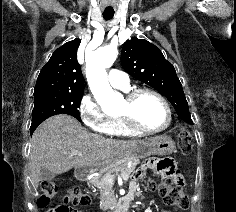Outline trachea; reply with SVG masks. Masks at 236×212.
I'll return each instance as SVG.
<instances>
[{"instance_id":"1","label":"trachea","mask_w":236,"mask_h":212,"mask_svg":"<svg viewBox=\"0 0 236 212\" xmlns=\"http://www.w3.org/2000/svg\"><path fill=\"white\" fill-rule=\"evenodd\" d=\"M114 16V12H104L103 13V18L108 21L110 19H112Z\"/></svg>"}]
</instances>
